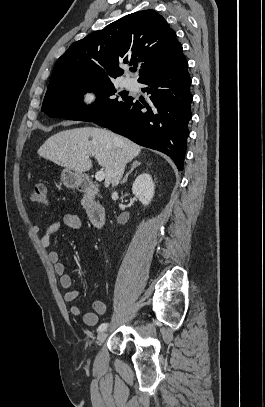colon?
I'll return each mask as SVG.
<instances>
[{
	"instance_id": "obj_1",
	"label": "colon",
	"mask_w": 265,
	"mask_h": 407,
	"mask_svg": "<svg viewBox=\"0 0 265 407\" xmlns=\"http://www.w3.org/2000/svg\"><path fill=\"white\" fill-rule=\"evenodd\" d=\"M31 200L39 205H46L48 203L47 187L44 183L35 184L31 193Z\"/></svg>"
}]
</instances>
